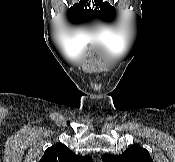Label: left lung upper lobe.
<instances>
[{
	"mask_svg": "<svg viewBox=\"0 0 175 162\" xmlns=\"http://www.w3.org/2000/svg\"><path fill=\"white\" fill-rule=\"evenodd\" d=\"M102 160L103 162H153L149 152L139 145L129 147L119 156L104 154Z\"/></svg>",
	"mask_w": 175,
	"mask_h": 162,
	"instance_id": "left-lung-upper-lobe-1",
	"label": "left lung upper lobe"
}]
</instances>
